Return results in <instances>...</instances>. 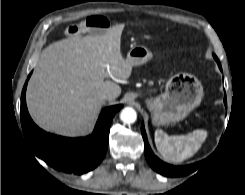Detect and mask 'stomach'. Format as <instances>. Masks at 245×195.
<instances>
[{"instance_id":"stomach-1","label":"stomach","mask_w":245,"mask_h":195,"mask_svg":"<svg viewBox=\"0 0 245 195\" xmlns=\"http://www.w3.org/2000/svg\"><path fill=\"white\" fill-rule=\"evenodd\" d=\"M152 53L144 46H134L127 54L133 66L146 63ZM204 96L201 82L192 74L180 72L169 78L165 91L156 97L146 98L145 103L154 125H167L183 120L201 103Z\"/></svg>"}]
</instances>
